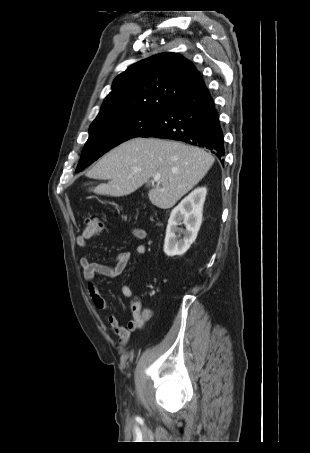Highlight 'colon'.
<instances>
[{
	"instance_id": "colon-1",
	"label": "colon",
	"mask_w": 310,
	"mask_h": 453,
	"mask_svg": "<svg viewBox=\"0 0 310 453\" xmlns=\"http://www.w3.org/2000/svg\"><path fill=\"white\" fill-rule=\"evenodd\" d=\"M105 229L104 222L98 217H91L87 220L84 236L91 238L92 236L101 233Z\"/></svg>"
}]
</instances>
